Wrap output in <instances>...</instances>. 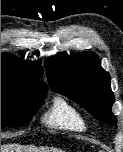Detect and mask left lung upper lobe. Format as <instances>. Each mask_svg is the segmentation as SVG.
I'll return each mask as SVG.
<instances>
[{"instance_id":"left-lung-upper-lobe-1","label":"left lung upper lobe","mask_w":123,"mask_h":152,"mask_svg":"<svg viewBox=\"0 0 123 152\" xmlns=\"http://www.w3.org/2000/svg\"><path fill=\"white\" fill-rule=\"evenodd\" d=\"M52 91L64 94L88 110L98 120L116 125L111 107L114 95L110 76L93 52L60 55L46 61Z\"/></svg>"}]
</instances>
